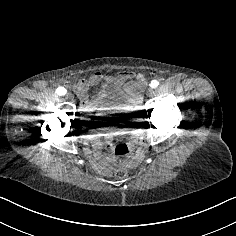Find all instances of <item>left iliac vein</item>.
Returning <instances> with one entry per match:
<instances>
[{"instance_id":"4c4485c4","label":"left iliac vein","mask_w":236,"mask_h":236,"mask_svg":"<svg viewBox=\"0 0 236 236\" xmlns=\"http://www.w3.org/2000/svg\"><path fill=\"white\" fill-rule=\"evenodd\" d=\"M144 94L147 96V97H150V98H153L155 95H156V92L151 89V88H147L145 91H144Z\"/></svg>"}]
</instances>
